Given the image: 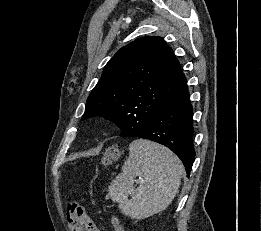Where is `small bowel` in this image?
Returning <instances> with one entry per match:
<instances>
[{
  "mask_svg": "<svg viewBox=\"0 0 261 231\" xmlns=\"http://www.w3.org/2000/svg\"><path fill=\"white\" fill-rule=\"evenodd\" d=\"M93 225H94V229L92 231H106L104 225H102L101 223L93 222ZM68 229L69 231H83L79 225L69 223V222H68Z\"/></svg>",
  "mask_w": 261,
  "mask_h": 231,
  "instance_id": "c3829d8e",
  "label": "small bowel"
}]
</instances>
